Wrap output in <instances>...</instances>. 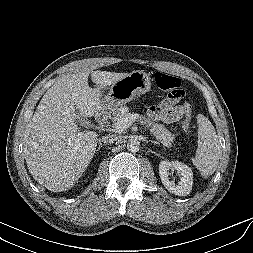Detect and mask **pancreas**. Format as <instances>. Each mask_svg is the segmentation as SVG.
<instances>
[{
	"label": "pancreas",
	"mask_w": 253,
	"mask_h": 253,
	"mask_svg": "<svg viewBox=\"0 0 253 253\" xmlns=\"http://www.w3.org/2000/svg\"><path fill=\"white\" fill-rule=\"evenodd\" d=\"M131 115L129 112V108L127 106H120L118 109L114 110L113 112V124H112V131L119 132L115 129V124L124 117ZM151 132L156 137V139L161 142L164 146L170 147L171 143L174 141V135L164 127L162 124H155L151 128Z\"/></svg>",
	"instance_id": "1"
}]
</instances>
